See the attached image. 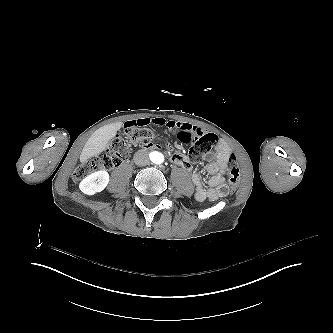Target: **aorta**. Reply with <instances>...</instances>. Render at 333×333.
<instances>
[{
	"label": "aorta",
	"mask_w": 333,
	"mask_h": 333,
	"mask_svg": "<svg viewBox=\"0 0 333 333\" xmlns=\"http://www.w3.org/2000/svg\"><path fill=\"white\" fill-rule=\"evenodd\" d=\"M151 160L153 163L160 165L165 161V157L160 152H153L151 153Z\"/></svg>",
	"instance_id": "obj_1"
}]
</instances>
